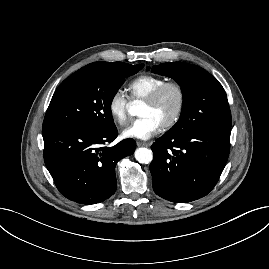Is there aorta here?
I'll use <instances>...</instances> for the list:
<instances>
[{
	"instance_id": "obj_1",
	"label": "aorta",
	"mask_w": 269,
	"mask_h": 269,
	"mask_svg": "<svg viewBox=\"0 0 269 269\" xmlns=\"http://www.w3.org/2000/svg\"><path fill=\"white\" fill-rule=\"evenodd\" d=\"M139 105L134 103L129 107L128 112L131 116H137L139 114ZM135 159L142 164H148L153 160V153L148 148H138L134 153Z\"/></svg>"
}]
</instances>
